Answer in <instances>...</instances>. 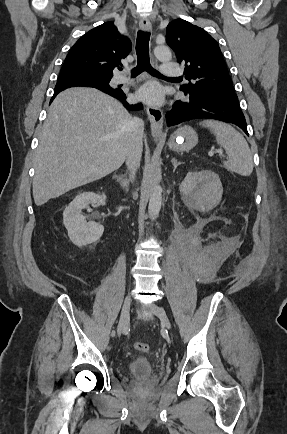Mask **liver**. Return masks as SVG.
<instances>
[{"mask_svg": "<svg viewBox=\"0 0 287 434\" xmlns=\"http://www.w3.org/2000/svg\"><path fill=\"white\" fill-rule=\"evenodd\" d=\"M132 119L118 100L99 90L77 87L59 93L39 136L35 204L119 169L130 146Z\"/></svg>", "mask_w": 287, "mask_h": 434, "instance_id": "6515ba94", "label": "liver"}]
</instances>
